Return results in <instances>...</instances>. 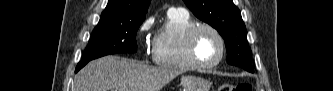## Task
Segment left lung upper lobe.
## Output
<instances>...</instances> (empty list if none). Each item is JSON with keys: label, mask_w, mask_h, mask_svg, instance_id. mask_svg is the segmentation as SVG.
I'll return each mask as SVG.
<instances>
[{"label": "left lung upper lobe", "mask_w": 333, "mask_h": 91, "mask_svg": "<svg viewBox=\"0 0 333 91\" xmlns=\"http://www.w3.org/2000/svg\"><path fill=\"white\" fill-rule=\"evenodd\" d=\"M200 20L214 27L224 38L227 62L253 72L252 52L247 43V31L239 9L232 0H184Z\"/></svg>", "instance_id": "1"}]
</instances>
